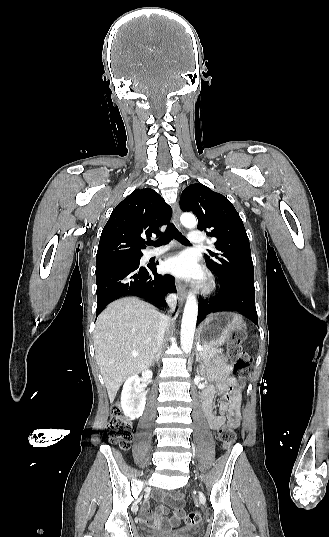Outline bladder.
<instances>
[{
  "label": "bladder",
  "mask_w": 329,
  "mask_h": 537,
  "mask_svg": "<svg viewBox=\"0 0 329 537\" xmlns=\"http://www.w3.org/2000/svg\"><path fill=\"white\" fill-rule=\"evenodd\" d=\"M146 537H193L196 534L195 530H182L176 534L167 535L159 531H146Z\"/></svg>",
  "instance_id": "bladder-1"
}]
</instances>
